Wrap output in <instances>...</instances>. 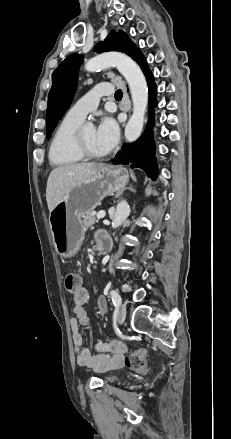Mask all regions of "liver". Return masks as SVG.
I'll return each mask as SVG.
<instances>
[{
	"mask_svg": "<svg viewBox=\"0 0 231 439\" xmlns=\"http://www.w3.org/2000/svg\"><path fill=\"white\" fill-rule=\"evenodd\" d=\"M104 165L75 163L59 166L51 171L47 180L46 200L51 212L54 206L78 182L95 175Z\"/></svg>",
	"mask_w": 231,
	"mask_h": 439,
	"instance_id": "6515ba94",
	"label": "liver"
}]
</instances>
